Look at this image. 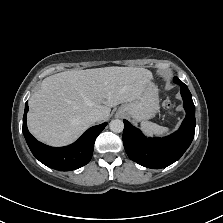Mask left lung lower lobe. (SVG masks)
<instances>
[{"instance_id":"left-lung-lower-lobe-1","label":"left lung lower lobe","mask_w":223,"mask_h":223,"mask_svg":"<svg viewBox=\"0 0 223 223\" xmlns=\"http://www.w3.org/2000/svg\"><path fill=\"white\" fill-rule=\"evenodd\" d=\"M186 117L175 133L163 138H146L139 129L124 120L123 144L128 157L138 164L152 168H165L184 154L195 133V106L188 87L178 78Z\"/></svg>"}]
</instances>
